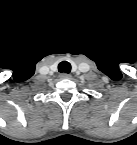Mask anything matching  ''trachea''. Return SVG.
I'll return each instance as SVG.
<instances>
[{
	"label": "trachea",
	"instance_id": "3493384b",
	"mask_svg": "<svg viewBox=\"0 0 137 145\" xmlns=\"http://www.w3.org/2000/svg\"><path fill=\"white\" fill-rule=\"evenodd\" d=\"M58 71L61 73H70L71 71V65L69 62L67 61H62L59 63L58 65Z\"/></svg>",
	"mask_w": 137,
	"mask_h": 145
}]
</instances>
